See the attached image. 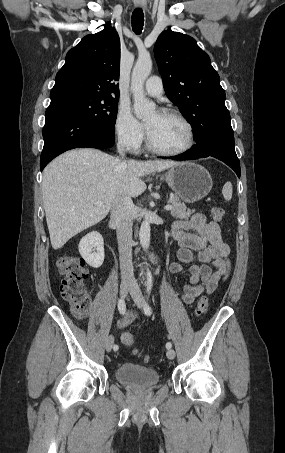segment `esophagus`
Returning <instances> with one entry per match:
<instances>
[{"label": "esophagus", "mask_w": 285, "mask_h": 453, "mask_svg": "<svg viewBox=\"0 0 285 453\" xmlns=\"http://www.w3.org/2000/svg\"><path fill=\"white\" fill-rule=\"evenodd\" d=\"M135 6L138 8H143L145 9L146 3L144 0H135Z\"/></svg>", "instance_id": "34e87169"}]
</instances>
